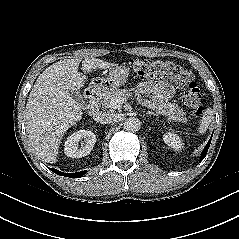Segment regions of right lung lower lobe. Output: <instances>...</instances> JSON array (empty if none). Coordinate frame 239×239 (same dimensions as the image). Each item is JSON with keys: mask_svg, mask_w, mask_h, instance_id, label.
<instances>
[{"mask_svg": "<svg viewBox=\"0 0 239 239\" xmlns=\"http://www.w3.org/2000/svg\"><path fill=\"white\" fill-rule=\"evenodd\" d=\"M51 170L58 175L65 176V177H70V178H77L79 176L84 175L85 172H86V171H81V172H78V173H64V172H61V171L56 170L54 168H52Z\"/></svg>", "mask_w": 239, "mask_h": 239, "instance_id": "obj_1", "label": "right lung lower lobe"}]
</instances>
